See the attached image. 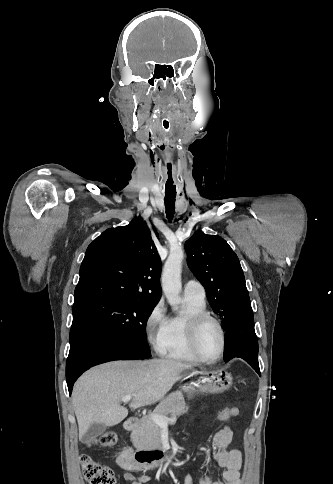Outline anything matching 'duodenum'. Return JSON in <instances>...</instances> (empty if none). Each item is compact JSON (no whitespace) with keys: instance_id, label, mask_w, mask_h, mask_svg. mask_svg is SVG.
<instances>
[{"instance_id":"obj_1","label":"duodenum","mask_w":333,"mask_h":484,"mask_svg":"<svg viewBox=\"0 0 333 484\" xmlns=\"http://www.w3.org/2000/svg\"><path fill=\"white\" fill-rule=\"evenodd\" d=\"M139 426V420L130 417L125 421V429L133 431ZM177 458L174 454L163 451L139 450L135 454L129 447L124 448L119 455L120 466L128 471H143L154 469L161 465H173Z\"/></svg>"}]
</instances>
